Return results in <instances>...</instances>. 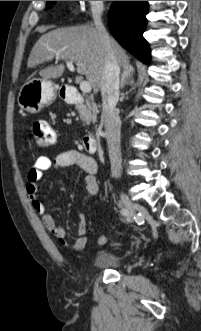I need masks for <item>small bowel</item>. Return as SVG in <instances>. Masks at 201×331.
Listing matches in <instances>:
<instances>
[{
    "label": "small bowel",
    "mask_w": 201,
    "mask_h": 331,
    "mask_svg": "<svg viewBox=\"0 0 201 331\" xmlns=\"http://www.w3.org/2000/svg\"><path fill=\"white\" fill-rule=\"evenodd\" d=\"M71 166H77L85 173L84 182L87 191L86 198L83 202V205H85L91 197L98 193L99 187L96 180L98 167L93 158L78 150L62 152L53 159L47 156L37 157L27 173L26 191L33 209L41 216L44 227L52 233L61 244L73 251L79 252L84 248L86 243L87 224L84 213H79V222L76 230L77 239L74 243L69 244L66 241L65 229L56 225L53 216L46 212L45 204L38 196V182L46 171L53 169L57 174L62 175L65 170ZM105 241V236H99L97 239L99 245L104 244Z\"/></svg>",
    "instance_id": "c3829d8e"
}]
</instances>
